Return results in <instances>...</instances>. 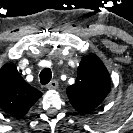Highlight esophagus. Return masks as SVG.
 <instances>
[{"instance_id": "1", "label": "esophagus", "mask_w": 133, "mask_h": 133, "mask_svg": "<svg viewBox=\"0 0 133 133\" xmlns=\"http://www.w3.org/2000/svg\"><path fill=\"white\" fill-rule=\"evenodd\" d=\"M46 87L49 90L57 89L58 88V81L57 80H52L50 83L47 84Z\"/></svg>"}]
</instances>
